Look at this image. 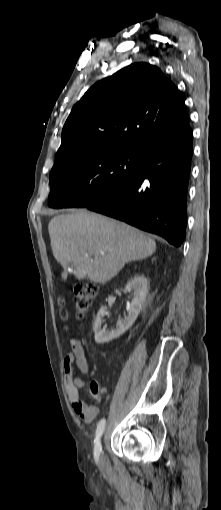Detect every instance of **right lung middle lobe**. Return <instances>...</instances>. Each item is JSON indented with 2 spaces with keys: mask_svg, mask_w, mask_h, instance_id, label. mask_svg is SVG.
I'll return each instance as SVG.
<instances>
[{
  "mask_svg": "<svg viewBox=\"0 0 221 510\" xmlns=\"http://www.w3.org/2000/svg\"><path fill=\"white\" fill-rule=\"evenodd\" d=\"M144 149L105 147L69 156L53 166L48 205L85 207L126 184L139 170Z\"/></svg>",
  "mask_w": 221,
  "mask_h": 510,
  "instance_id": "obj_1",
  "label": "right lung middle lobe"
}]
</instances>
